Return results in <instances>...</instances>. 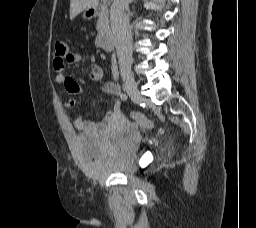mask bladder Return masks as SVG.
I'll use <instances>...</instances> for the list:
<instances>
[{"instance_id": "31cf9c89", "label": "bladder", "mask_w": 256, "mask_h": 228, "mask_svg": "<svg viewBox=\"0 0 256 228\" xmlns=\"http://www.w3.org/2000/svg\"><path fill=\"white\" fill-rule=\"evenodd\" d=\"M142 135L136 126L116 129L104 136L79 135L75 149L94 178L128 175L135 170Z\"/></svg>"}]
</instances>
